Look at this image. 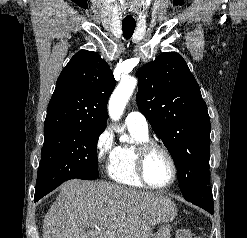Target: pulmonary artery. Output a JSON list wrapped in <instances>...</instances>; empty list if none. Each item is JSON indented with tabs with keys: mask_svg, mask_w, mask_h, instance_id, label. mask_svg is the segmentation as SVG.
I'll return each instance as SVG.
<instances>
[{
	"mask_svg": "<svg viewBox=\"0 0 247 238\" xmlns=\"http://www.w3.org/2000/svg\"><path fill=\"white\" fill-rule=\"evenodd\" d=\"M127 127H132L143 132H148V122L146 117L139 111L129 112L125 118Z\"/></svg>",
	"mask_w": 247,
	"mask_h": 238,
	"instance_id": "e3ab8cb5",
	"label": "pulmonary artery"
}]
</instances>
